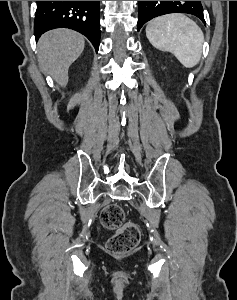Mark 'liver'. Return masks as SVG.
Segmentation results:
<instances>
[{
  "label": "liver",
  "instance_id": "1",
  "mask_svg": "<svg viewBox=\"0 0 237 300\" xmlns=\"http://www.w3.org/2000/svg\"><path fill=\"white\" fill-rule=\"evenodd\" d=\"M84 47V37L76 31H48L37 43L39 67L49 73L60 87H66L69 79L68 69L80 57Z\"/></svg>",
  "mask_w": 237,
  "mask_h": 300
}]
</instances>
